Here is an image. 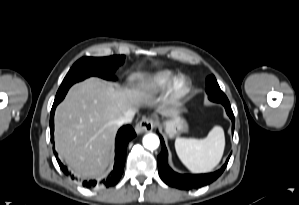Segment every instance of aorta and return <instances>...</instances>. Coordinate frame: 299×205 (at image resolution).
<instances>
[{"mask_svg":"<svg viewBox=\"0 0 299 205\" xmlns=\"http://www.w3.org/2000/svg\"><path fill=\"white\" fill-rule=\"evenodd\" d=\"M160 140L156 134L149 133L143 137V145L149 150H155L159 147Z\"/></svg>","mask_w":299,"mask_h":205,"instance_id":"obj_1","label":"aorta"}]
</instances>
